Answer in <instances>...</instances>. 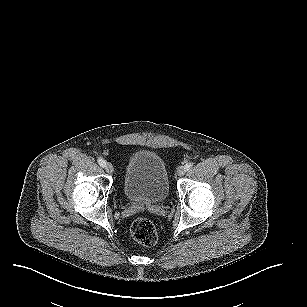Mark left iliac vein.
Returning a JSON list of instances; mask_svg holds the SVG:
<instances>
[{"label":"left iliac vein","instance_id":"left-iliac-vein-1","mask_svg":"<svg viewBox=\"0 0 307 307\" xmlns=\"http://www.w3.org/2000/svg\"><path fill=\"white\" fill-rule=\"evenodd\" d=\"M185 172H186V169H185L184 166L178 167V168H177V171H176V173H177V175H178L179 177H182V176L185 174Z\"/></svg>","mask_w":307,"mask_h":307}]
</instances>
